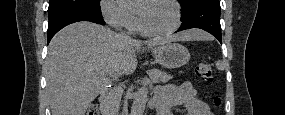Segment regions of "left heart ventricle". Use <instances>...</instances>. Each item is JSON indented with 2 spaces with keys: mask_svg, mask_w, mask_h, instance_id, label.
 <instances>
[{
  "mask_svg": "<svg viewBox=\"0 0 285 115\" xmlns=\"http://www.w3.org/2000/svg\"><path fill=\"white\" fill-rule=\"evenodd\" d=\"M143 25L151 31H165L175 24L173 7L166 1L144 2L136 7Z\"/></svg>",
  "mask_w": 285,
  "mask_h": 115,
  "instance_id": "1",
  "label": "left heart ventricle"
}]
</instances>
